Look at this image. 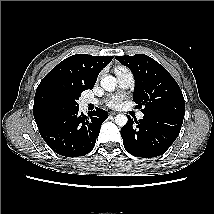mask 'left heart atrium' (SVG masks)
<instances>
[{"mask_svg": "<svg viewBox=\"0 0 214 214\" xmlns=\"http://www.w3.org/2000/svg\"><path fill=\"white\" fill-rule=\"evenodd\" d=\"M122 99H123L122 95H113L108 98L107 104L108 106L115 108L121 104Z\"/></svg>", "mask_w": 214, "mask_h": 214, "instance_id": "1", "label": "left heart atrium"}]
</instances>
